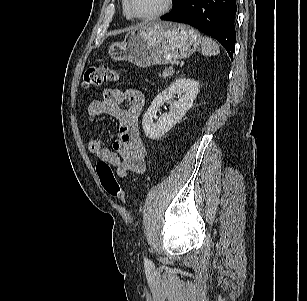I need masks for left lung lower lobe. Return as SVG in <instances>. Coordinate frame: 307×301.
<instances>
[{"label": "left lung lower lobe", "mask_w": 307, "mask_h": 301, "mask_svg": "<svg viewBox=\"0 0 307 301\" xmlns=\"http://www.w3.org/2000/svg\"><path fill=\"white\" fill-rule=\"evenodd\" d=\"M236 0H180L162 20L192 25L218 40L230 58L236 42Z\"/></svg>", "instance_id": "0a47b994"}]
</instances>
